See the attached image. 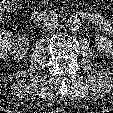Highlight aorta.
<instances>
[{
    "label": "aorta",
    "mask_w": 113,
    "mask_h": 113,
    "mask_svg": "<svg viewBox=\"0 0 113 113\" xmlns=\"http://www.w3.org/2000/svg\"><path fill=\"white\" fill-rule=\"evenodd\" d=\"M66 26L70 30H78L81 26V20L77 16H70L66 21Z\"/></svg>",
    "instance_id": "762f6f07"
}]
</instances>
